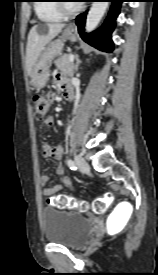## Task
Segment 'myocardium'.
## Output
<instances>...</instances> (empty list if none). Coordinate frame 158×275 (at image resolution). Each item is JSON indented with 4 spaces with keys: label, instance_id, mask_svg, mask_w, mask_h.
Instances as JSON below:
<instances>
[{
    "label": "myocardium",
    "instance_id": "f54148a6",
    "mask_svg": "<svg viewBox=\"0 0 158 275\" xmlns=\"http://www.w3.org/2000/svg\"><path fill=\"white\" fill-rule=\"evenodd\" d=\"M63 2V1H59ZM80 6L69 7L66 3H57V9L62 15H72L80 10Z\"/></svg>",
    "mask_w": 158,
    "mask_h": 275
}]
</instances>
